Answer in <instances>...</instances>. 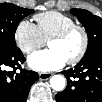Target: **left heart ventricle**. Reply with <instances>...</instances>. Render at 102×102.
<instances>
[{
	"label": "left heart ventricle",
	"instance_id": "1",
	"mask_svg": "<svg viewBox=\"0 0 102 102\" xmlns=\"http://www.w3.org/2000/svg\"><path fill=\"white\" fill-rule=\"evenodd\" d=\"M83 44L81 32L76 31L67 39L62 41H51L48 43L50 49L57 51L66 61L75 57Z\"/></svg>",
	"mask_w": 102,
	"mask_h": 102
}]
</instances>
